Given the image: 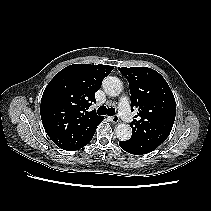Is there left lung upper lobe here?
Segmentation results:
<instances>
[{
	"label": "left lung upper lobe",
	"instance_id": "5c2ea615",
	"mask_svg": "<svg viewBox=\"0 0 211 211\" xmlns=\"http://www.w3.org/2000/svg\"><path fill=\"white\" fill-rule=\"evenodd\" d=\"M129 82L131 111L137 115L130 126L134 143L157 148L169 136L176 115L173 93L157 71L145 67L118 68Z\"/></svg>",
	"mask_w": 211,
	"mask_h": 211
}]
</instances>
